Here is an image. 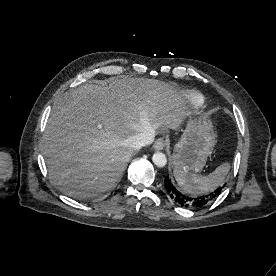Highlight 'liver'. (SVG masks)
Wrapping results in <instances>:
<instances>
[{"mask_svg": "<svg viewBox=\"0 0 276 276\" xmlns=\"http://www.w3.org/2000/svg\"><path fill=\"white\" fill-rule=\"evenodd\" d=\"M188 115L182 93L160 80L121 76L72 88L54 104L44 134L49 177L70 197H96L125 171L131 136L178 130Z\"/></svg>", "mask_w": 276, "mask_h": 276, "instance_id": "1", "label": "liver"}]
</instances>
